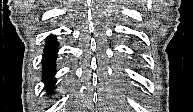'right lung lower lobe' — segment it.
Here are the masks:
<instances>
[{
    "label": "right lung lower lobe",
    "mask_w": 193,
    "mask_h": 112,
    "mask_svg": "<svg viewBox=\"0 0 193 112\" xmlns=\"http://www.w3.org/2000/svg\"><path fill=\"white\" fill-rule=\"evenodd\" d=\"M56 52H57V43L55 37L49 38L46 41L44 56L42 58L43 63V81L49 91L54 89V81L53 79V70L55 68V60H56Z\"/></svg>",
    "instance_id": "98d812e1"
}]
</instances>
